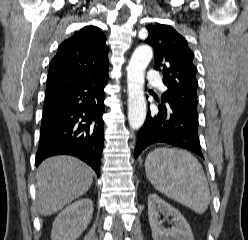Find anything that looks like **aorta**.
Masks as SVG:
<instances>
[{
	"instance_id": "1",
	"label": "aorta",
	"mask_w": 248,
	"mask_h": 240,
	"mask_svg": "<svg viewBox=\"0 0 248 240\" xmlns=\"http://www.w3.org/2000/svg\"><path fill=\"white\" fill-rule=\"evenodd\" d=\"M153 57L151 47L139 46L134 51L127 67L128 121L133 130H138L146 118L144 76Z\"/></svg>"
}]
</instances>
